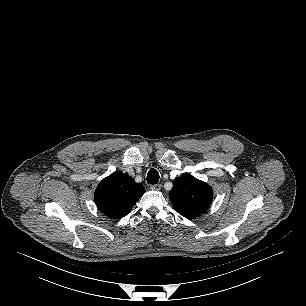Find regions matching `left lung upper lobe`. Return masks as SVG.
Returning a JSON list of instances; mask_svg holds the SVG:
<instances>
[{"mask_svg": "<svg viewBox=\"0 0 306 306\" xmlns=\"http://www.w3.org/2000/svg\"><path fill=\"white\" fill-rule=\"evenodd\" d=\"M212 197V189L192 175L176 178L169 192L174 210L188 219L204 213L209 208Z\"/></svg>", "mask_w": 306, "mask_h": 306, "instance_id": "obj_1", "label": "left lung upper lobe"}]
</instances>
